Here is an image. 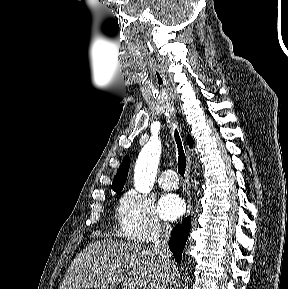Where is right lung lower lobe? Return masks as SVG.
I'll return each mask as SVG.
<instances>
[{
  "mask_svg": "<svg viewBox=\"0 0 288 289\" xmlns=\"http://www.w3.org/2000/svg\"><path fill=\"white\" fill-rule=\"evenodd\" d=\"M190 216L182 220V224H177L171 234L169 248L172 251L175 259L180 263L182 252L185 247L188 234L191 228Z\"/></svg>",
  "mask_w": 288,
  "mask_h": 289,
  "instance_id": "1",
  "label": "right lung lower lobe"
}]
</instances>
